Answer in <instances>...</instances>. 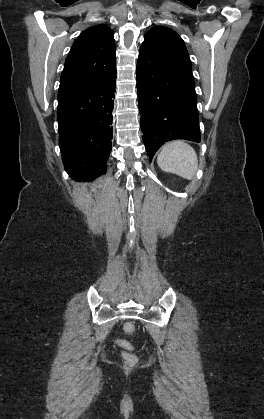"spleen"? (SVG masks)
I'll return each mask as SVG.
<instances>
[{
  "mask_svg": "<svg viewBox=\"0 0 264 419\" xmlns=\"http://www.w3.org/2000/svg\"><path fill=\"white\" fill-rule=\"evenodd\" d=\"M157 163L163 171L191 180L197 171L198 158L189 144L176 140L163 146Z\"/></svg>",
  "mask_w": 264,
  "mask_h": 419,
  "instance_id": "obj_1",
  "label": "spleen"
}]
</instances>
